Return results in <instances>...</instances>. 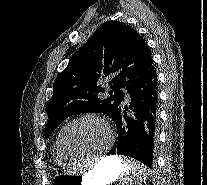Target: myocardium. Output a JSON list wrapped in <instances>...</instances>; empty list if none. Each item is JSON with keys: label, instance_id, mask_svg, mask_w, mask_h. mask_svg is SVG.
Here are the masks:
<instances>
[{"label": "myocardium", "instance_id": "f54148a6", "mask_svg": "<svg viewBox=\"0 0 207 185\" xmlns=\"http://www.w3.org/2000/svg\"><path fill=\"white\" fill-rule=\"evenodd\" d=\"M84 120H97L99 122H101L102 124H104L110 134V138L113 139L115 137V130L113 128V126L104 118L98 116V115H94V114H86V115H82L78 118H75L74 120H72L70 123H68L62 133L61 136V147L63 152L72 160L75 161H82V160H87V159H93V158H100L103 156L104 154V150L96 152V153H90V154H80V155H76L74 154L71 149L68 146V135L70 130L73 128V126L75 124H77L78 122L84 121Z\"/></svg>", "mask_w": 207, "mask_h": 185}]
</instances>
